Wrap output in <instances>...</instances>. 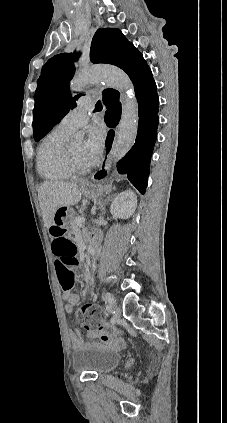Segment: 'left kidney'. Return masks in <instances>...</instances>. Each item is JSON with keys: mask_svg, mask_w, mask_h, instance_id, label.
I'll list each match as a JSON object with an SVG mask.
<instances>
[{"mask_svg": "<svg viewBox=\"0 0 227 423\" xmlns=\"http://www.w3.org/2000/svg\"><path fill=\"white\" fill-rule=\"evenodd\" d=\"M137 208V196L132 190H125L121 192L111 204L110 211L115 217H122V219H128L130 215H133Z\"/></svg>", "mask_w": 227, "mask_h": 423, "instance_id": "1", "label": "left kidney"}]
</instances>
